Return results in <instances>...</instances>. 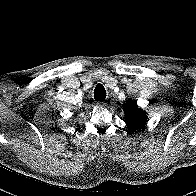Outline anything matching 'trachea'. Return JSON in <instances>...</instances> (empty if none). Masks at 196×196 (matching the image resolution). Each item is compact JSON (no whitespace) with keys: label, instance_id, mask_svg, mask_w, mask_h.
<instances>
[{"label":"trachea","instance_id":"trachea-1","mask_svg":"<svg viewBox=\"0 0 196 196\" xmlns=\"http://www.w3.org/2000/svg\"><path fill=\"white\" fill-rule=\"evenodd\" d=\"M94 98L97 101H102L106 98V90L102 84H98L94 90Z\"/></svg>","mask_w":196,"mask_h":196}]
</instances>
